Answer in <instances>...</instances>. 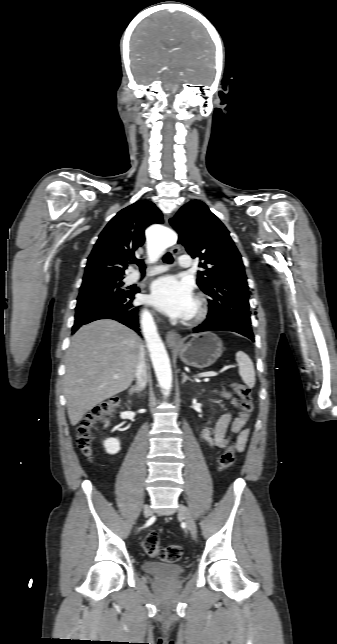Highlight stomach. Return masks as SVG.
<instances>
[{
    "instance_id": "1",
    "label": "stomach",
    "mask_w": 337,
    "mask_h": 644,
    "mask_svg": "<svg viewBox=\"0 0 337 644\" xmlns=\"http://www.w3.org/2000/svg\"><path fill=\"white\" fill-rule=\"evenodd\" d=\"M172 348L184 364L199 369L210 367L223 353L222 341L211 332L195 334L187 343Z\"/></svg>"
}]
</instances>
